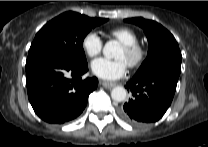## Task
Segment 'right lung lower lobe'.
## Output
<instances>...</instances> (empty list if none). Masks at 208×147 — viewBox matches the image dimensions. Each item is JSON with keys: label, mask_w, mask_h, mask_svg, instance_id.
<instances>
[{"label": "right lung lower lobe", "mask_w": 208, "mask_h": 147, "mask_svg": "<svg viewBox=\"0 0 208 147\" xmlns=\"http://www.w3.org/2000/svg\"><path fill=\"white\" fill-rule=\"evenodd\" d=\"M87 64L63 57H46L26 63V85L35 113L44 121L63 124L78 117L89 94L97 88L96 77L82 79Z\"/></svg>", "instance_id": "1"}]
</instances>
